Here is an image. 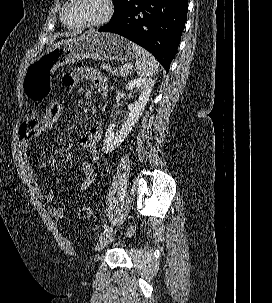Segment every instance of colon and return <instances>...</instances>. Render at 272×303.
I'll list each match as a JSON object with an SVG mask.
<instances>
[{
    "label": "colon",
    "instance_id": "5ec220e1",
    "mask_svg": "<svg viewBox=\"0 0 272 303\" xmlns=\"http://www.w3.org/2000/svg\"><path fill=\"white\" fill-rule=\"evenodd\" d=\"M101 68L104 72L117 76L119 69L108 61L101 63ZM62 116V104L59 100H52L45 108L42 116L39 117V131L42 136H48L54 133L59 125ZM92 216L90 207H83L79 210L81 219H88Z\"/></svg>",
    "mask_w": 272,
    "mask_h": 303
}]
</instances>
